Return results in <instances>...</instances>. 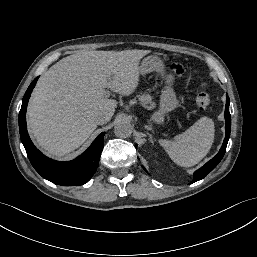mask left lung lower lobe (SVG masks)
<instances>
[{
    "instance_id": "0a47b994",
    "label": "left lung lower lobe",
    "mask_w": 257,
    "mask_h": 257,
    "mask_svg": "<svg viewBox=\"0 0 257 257\" xmlns=\"http://www.w3.org/2000/svg\"><path fill=\"white\" fill-rule=\"evenodd\" d=\"M229 97H226V107H225V121H226V125H225V130H226V136L224 139V142L222 144V147L220 149V151L218 152V154L211 159L210 161H208L203 167H201L200 169H198L197 171H195L194 173V179L191 183H194L198 180L203 179L208 173H210L217 165L218 163L221 161V159L223 158L225 151H226V147H227V143L230 137V131H231V116H230V112H229Z\"/></svg>"
}]
</instances>
